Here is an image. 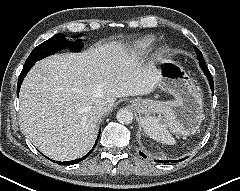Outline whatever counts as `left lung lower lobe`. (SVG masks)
Wrapping results in <instances>:
<instances>
[{
	"instance_id": "obj_1",
	"label": "left lung lower lobe",
	"mask_w": 240,
	"mask_h": 191,
	"mask_svg": "<svg viewBox=\"0 0 240 191\" xmlns=\"http://www.w3.org/2000/svg\"><path fill=\"white\" fill-rule=\"evenodd\" d=\"M199 64L203 70V72L205 73V75L207 76L208 80H209V84H210V87H211V90H212V93L214 94V84H213V78H212V75L210 74V71L208 70L206 64H205V61L204 59H200L199 60ZM141 156L145 157V154H143L141 151L139 152ZM183 159L181 160H178V161H182ZM157 162H161V163H167L169 161H163V160H157ZM173 162H177V161H173Z\"/></svg>"
}]
</instances>
